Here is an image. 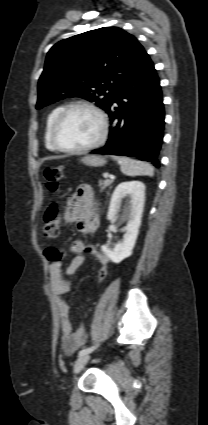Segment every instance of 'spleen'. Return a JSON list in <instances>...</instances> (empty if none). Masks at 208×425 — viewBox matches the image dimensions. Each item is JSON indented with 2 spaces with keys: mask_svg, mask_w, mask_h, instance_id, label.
<instances>
[{
  "mask_svg": "<svg viewBox=\"0 0 208 425\" xmlns=\"http://www.w3.org/2000/svg\"><path fill=\"white\" fill-rule=\"evenodd\" d=\"M120 162L121 172L127 176L146 175L152 177L154 168L147 162L137 161L128 157H114Z\"/></svg>",
  "mask_w": 208,
  "mask_h": 425,
  "instance_id": "3e777b00",
  "label": "spleen"
}]
</instances>
